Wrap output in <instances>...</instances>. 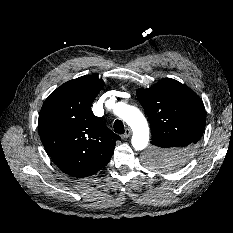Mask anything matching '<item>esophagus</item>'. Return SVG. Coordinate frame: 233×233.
<instances>
[{
    "mask_svg": "<svg viewBox=\"0 0 233 233\" xmlns=\"http://www.w3.org/2000/svg\"><path fill=\"white\" fill-rule=\"evenodd\" d=\"M130 134H131V130L129 128H127V129H125L124 134H122V138L126 139L130 136Z\"/></svg>",
    "mask_w": 233,
    "mask_h": 233,
    "instance_id": "34e87169",
    "label": "esophagus"
}]
</instances>
